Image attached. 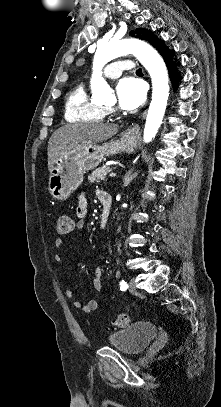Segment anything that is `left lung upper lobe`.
<instances>
[{
  "label": "left lung upper lobe",
  "mask_w": 221,
  "mask_h": 407,
  "mask_svg": "<svg viewBox=\"0 0 221 407\" xmlns=\"http://www.w3.org/2000/svg\"><path fill=\"white\" fill-rule=\"evenodd\" d=\"M130 34L133 37H138L140 39L149 41L154 47L158 40V38L154 36L152 32L145 29H137L136 31H131Z\"/></svg>",
  "instance_id": "5c2ea615"
}]
</instances>
